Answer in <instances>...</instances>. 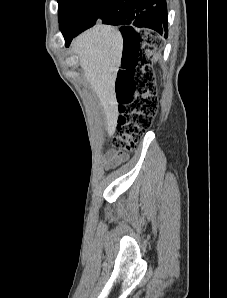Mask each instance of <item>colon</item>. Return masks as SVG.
Listing matches in <instances>:
<instances>
[{
  "label": "colon",
  "instance_id": "1",
  "mask_svg": "<svg viewBox=\"0 0 227 298\" xmlns=\"http://www.w3.org/2000/svg\"><path fill=\"white\" fill-rule=\"evenodd\" d=\"M147 36L145 40L139 36L137 47L124 57L115 83L119 116L113 146L119 150H134L157 113L158 99L150 63L159 41Z\"/></svg>",
  "mask_w": 227,
  "mask_h": 298
}]
</instances>
